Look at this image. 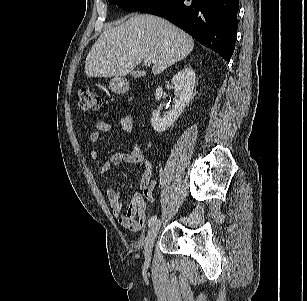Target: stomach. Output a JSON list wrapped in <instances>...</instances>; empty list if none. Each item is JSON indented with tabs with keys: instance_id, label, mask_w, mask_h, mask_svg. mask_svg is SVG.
I'll return each instance as SVG.
<instances>
[{
	"instance_id": "obj_1",
	"label": "stomach",
	"mask_w": 307,
	"mask_h": 301,
	"mask_svg": "<svg viewBox=\"0 0 307 301\" xmlns=\"http://www.w3.org/2000/svg\"><path fill=\"white\" fill-rule=\"evenodd\" d=\"M109 88L115 93H124L128 90V83L122 78H113L109 83Z\"/></svg>"
}]
</instances>
